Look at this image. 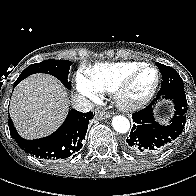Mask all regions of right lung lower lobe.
Returning a JSON list of instances; mask_svg holds the SVG:
<instances>
[{
	"label": "right lung lower lobe",
	"instance_id": "1",
	"mask_svg": "<svg viewBox=\"0 0 196 196\" xmlns=\"http://www.w3.org/2000/svg\"><path fill=\"white\" fill-rule=\"evenodd\" d=\"M92 118V112L81 113L72 109L58 130L50 136L35 140L22 138L10 118L8 125L12 138L25 152L45 160H57L73 156L82 148V142Z\"/></svg>",
	"mask_w": 196,
	"mask_h": 196
}]
</instances>
